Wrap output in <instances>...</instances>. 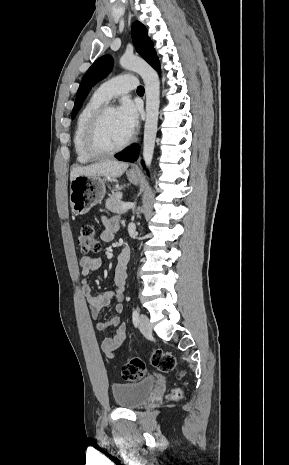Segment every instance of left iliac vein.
Masks as SVG:
<instances>
[{
	"label": "left iliac vein",
	"mask_w": 289,
	"mask_h": 465,
	"mask_svg": "<svg viewBox=\"0 0 289 465\" xmlns=\"http://www.w3.org/2000/svg\"><path fill=\"white\" fill-rule=\"evenodd\" d=\"M138 326H139L140 331L144 335H146V336L151 335L152 327H151L149 319H148V317L146 315H144V314L140 315L139 320H138Z\"/></svg>",
	"instance_id": "4c4485c4"
}]
</instances>
